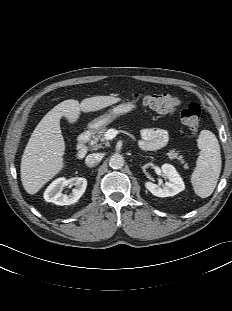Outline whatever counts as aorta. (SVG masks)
I'll return each mask as SVG.
<instances>
[{
	"label": "aorta",
	"mask_w": 232,
	"mask_h": 311,
	"mask_svg": "<svg viewBox=\"0 0 232 311\" xmlns=\"http://www.w3.org/2000/svg\"><path fill=\"white\" fill-rule=\"evenodd\" d=\"M109 165L113 169L122 168L124 166V158H123V156L121 154H113L110 157Z\"/></svg>",
	"instance_id": "1"
}]
</instances>
